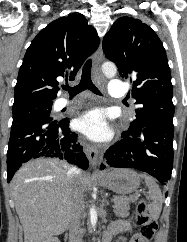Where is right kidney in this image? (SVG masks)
<instances>
[{"mask_svg":"<svg viewBox=\"0 0 187 242\" xmlns=\"http://www.w3.org/2000/svg\"><path fill=\"white\" fill-rule=\"evenodd\" d=\"M46 242H60L57 238H51L47 240Z\"/></svg>","mask_w":187,"mask_h":242,"instance_id":"ca27d5eb","label":"right kidney"}]
</instances>
